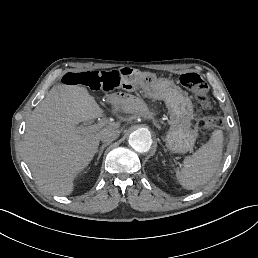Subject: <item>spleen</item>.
<instances>
[{
    "label": "spleen",
    "instance_id": "spleen-1",
    "mask_svg": "<svg viewBox=\"0 0 258 258\" xmlns=\"http://www.w3.org/2000/svg\"><path fill=\"white\" fill-rule=\"evenodd\" d=\"M222 144V130H215L206 144L184 159L183 167L176 171V177L185 189L194 190L211 180L219 168Z\"/></svg>",
    "mask_w": 258,
    "mask_h": 258
}]
</instances>
